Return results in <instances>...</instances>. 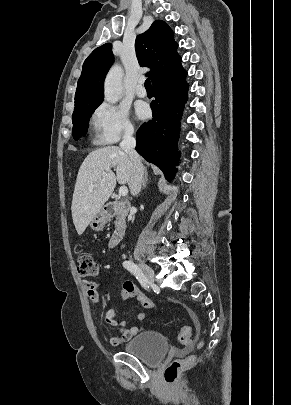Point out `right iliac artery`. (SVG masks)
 Masks as SVG:
<instances>
[{
	"mask_svg": "<svg viewBox=\"0 0 291 405\" xmlns=\"http://www.w3.org/2000/svg\"><path fill=\"white\" fill-rule=\"evenodd\" d=\"M123 266L136 277L143 288H145L146 290L149 289L148 279L145 277L141 269L136 264L131 261H125L123 262Z\"/></svg>",
	"mask_w": 291,
	"mask_h": 405,
	"instance_id": "1",
	"label": "right iliac artery"
}]
</instances>
